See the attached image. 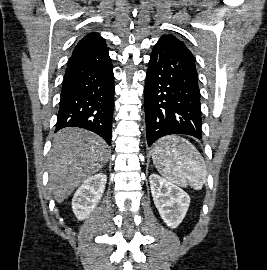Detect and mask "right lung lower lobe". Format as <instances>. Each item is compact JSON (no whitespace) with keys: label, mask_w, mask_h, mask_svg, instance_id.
Here are the masks:
<instances>
[{"label":"right lung lower lobe","mask_w":267,"mask_h":270,"mask_svg":"<svg viewBox=\"0 0 267 270\" xmlns=\"http://www.w3.org/2000/svg\"><path fill=\"white\" fill-rule=\"evenodd\" d=\"M113 107L114 75L106 44L74 53L63 80L55 132L80 127L111 145Z\"/></svg>","instance_id":"obj_1"}]
</instances>
